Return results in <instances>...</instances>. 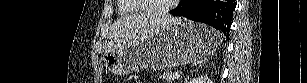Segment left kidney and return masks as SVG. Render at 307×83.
<instances>
[{
  "label": "left kidney",
  "mask_w": 307,
  "mask_h": 83,
  "mask_svg": "<svg viewBox=\"0 0 307 83\" xmlns=\"http://www.w3.org/2000/svg\"><path fill=\"white\" fill-rule=\"evenodd\" d=\"M189 83H212V80L207 76H199L191 79Z\"/></svg>",
  "instance_id": "obj_1"
}]
</instances>
